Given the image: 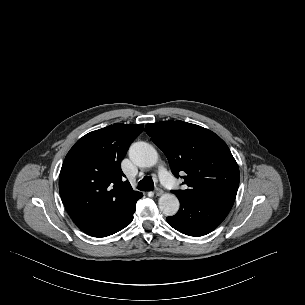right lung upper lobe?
I'll return each instance as SVG.
<instances>
[{
    "instance_id": "cb5924a9",
    "label": "right lung upper lobe",
    "mask_w": 305,
    "mask_h": 305,
    "mask_svg": "<svg viewBox=\"0 0 305 305\" xmlns=\"http://www.w3.org/2000/svg\"><path fill=\"white\" fill-rule=\"evenodd\" d=\"M143 128L115 123L92 131L66 155L59 191L68 214L81 230L107 225L142 197L123 180L121 160Z\"/></svg>"
}]
</instances>
